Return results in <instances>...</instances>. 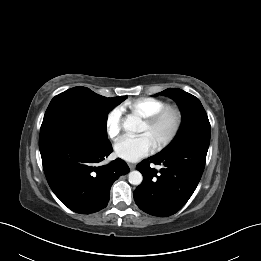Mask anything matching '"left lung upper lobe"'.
<instances>
[{"instance_id": "obj_1", "label": "left lung upper lobe", "mask_w": 261, "mask_h": 261, "mask_svg": "<svg viewBox=\"0 0 261 261\" xmlns=\"http://www.w3.org/2000/svg\"><path fill=\"white\" fill-rule=\"evenodd\" d=\"M158 94L168 96L176 101L182 114V123L178 133L172 142L159 153L189 144L209 146L210 123L200 100L177 88H168L156 95Z\"/></svg>"}]
</instances>
